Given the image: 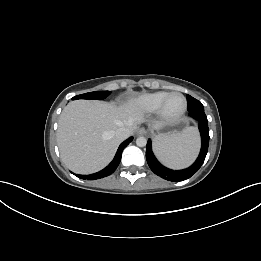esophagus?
<instances>
[{
    "mask_svg": "<svg viewBox=\"0 0 261 261\" xmlns=\"http://www.w3.org/2000/svg\"><path fill=\"white\" fill-rule=\"evenodd\" d=\"M146 134V129L144 127H140L137 130V135H144Z\"/></svg>",
    "mask_w": 261,
    "mask_h": 261,
    "instance_id": "1",
    "label": "esophagus"
}]
</instances>
